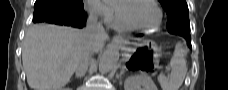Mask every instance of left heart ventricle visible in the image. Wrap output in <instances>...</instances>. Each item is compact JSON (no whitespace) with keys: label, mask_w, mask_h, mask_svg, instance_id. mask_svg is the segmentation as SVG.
Listing matches in <instances>:
<instances>
[{"label":"left heart ventricle","mask_w":228,"mask_h":90,"mask_svg":"<svg viewBox=\"0 0 228 90\" xmlns=\"http://www.w3.org/2000/svg\"><path fill=\"white\" fill-rule=\"evenodd\" d=\"M126 19L133 25L153 28L157 25L159 15L155 6L147 0H139L124 8Z\"/></svg>","instance_id":"left-heart-ventricle-1"}]
</instances>
